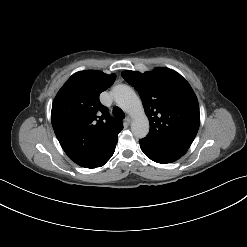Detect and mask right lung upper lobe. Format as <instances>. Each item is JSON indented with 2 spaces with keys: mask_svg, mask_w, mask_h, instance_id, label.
Here are the masks:
<instances>
[{
  "mask_svg": "<svg viewBox=\"0 0 247 247\" xmlns=\"http://www.w3.org/2000/svg\"><path fill=\"white\" fill-rule=\"evenodd\" d=\"M116 75L87 70L73 74L56 95L51 112L52 126L63 150L84 166L97 151L123 129L120 120L109 117L99 103L101 92Z\"/></svg>",
  "mask_w": 247,
  "mask_h": 247,
  "instance_id": "cb5924a9",
  "label": "right lung upper lobe"
}]
</instances>
